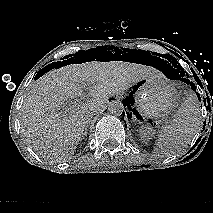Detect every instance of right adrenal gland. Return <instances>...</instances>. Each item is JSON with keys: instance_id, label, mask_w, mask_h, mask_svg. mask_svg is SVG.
Returning <instances> with one entry per match:
<instances>
[{"instance_id": "2a0ac1e0", "label": "right adrenal gland", "mask_w": 213, "mask_h": 213, "mask_svg": "<svg viewBox=\"0 0 213 213\" xmlns=\"http://www.w3.org/2000/svg\"><path fill=\"white\" fill-rule=\"evenodd\" d=\"M88 125H89V123L87 122L85 129H84V133H83L81 139H83L85 136H87Z\"/></svg>"}]
</instances>
